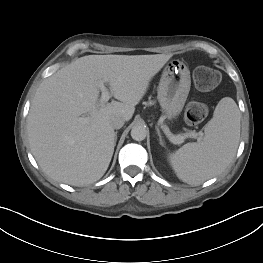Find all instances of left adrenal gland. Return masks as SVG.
I'll use <instances>...</instances> for the list:
<instances>
[{
	"mask_svg": "<svg viewBox=\"0 0 263 263\" xmlns=\"http://www.w3.org/2000/svg\"><path fill=\"white\" fill-rule=\"evenodd\" d=\"M156 131H157V134H158V137H159V143H160V145L163 146L164 144H163L162 136H161V133H160V130H159L158 127H156Z\"/></svg>",
	"mask_w": 263,
	"mask_h": 263,
	"instance_id": "1",
	"label": "left adrenal gland"
}]
</instances>
